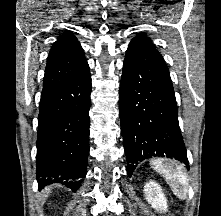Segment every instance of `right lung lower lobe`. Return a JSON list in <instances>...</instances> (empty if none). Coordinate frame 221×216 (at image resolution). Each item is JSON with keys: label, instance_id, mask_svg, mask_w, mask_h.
Here are the masks:
<instances>
[{"label": "right lung lower lobe", "instance_id": "right-lung-lower-lobe-1", "mask_svg": "<svg viewBox=\"0 0 221 216\" xmlns=\"http://www.w3.org/2000/svg\"><path fill=\"white\" fill-rule=\"evenodd\" d=\"M90 70L41 95L36 176L39 189L62 183L76 191L89 154Z\"/></svg>", "mask_w": 221, "mask_h": 216}]
</instances>
